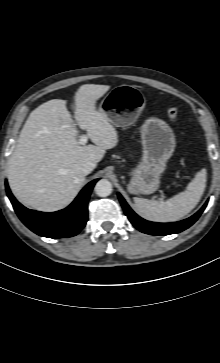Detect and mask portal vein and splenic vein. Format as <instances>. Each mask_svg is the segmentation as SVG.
Returning a JSON list of instances; mask_svg holds the SVG:
<instances>
[{
    "label": "portal vein and splenic vein",
    "mask_w": 220,
    "mask_h": 363,
    "mask_svg": "<svg viewBox=\"0 0 220 363\" xmlns=\"http://www.w3.org/2000/svg\"><path fill=\"white\" fill-rule=\"evenodd\" d=\"M88 141V136L87 135H82L79 139V144L81 145H85Z\"/></svg>",
    "instance_id": "obj_1"
}]
</instances>
